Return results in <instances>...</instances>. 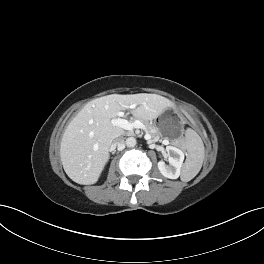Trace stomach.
Segmentation results:
<instances>
[{"label": "stomach", "instance_id": "obj_1", "mask_svg": "<svg viewBox=\"0 0 264 264\" xmlns=\"http://www.w3.org/2000/svg\"><path fill=\"white\" fill-rule=\"evenodd\" d=\"M155 125L161 136L170 138L179 137L184 129L182 118L172 108L165 109Z\"/></svg>", "mask_w": 264, "mask_h": 264}]
</instances>
